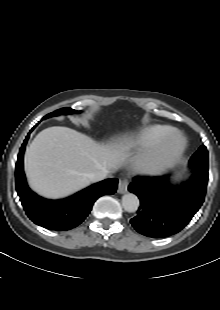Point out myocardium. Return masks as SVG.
<instances>
[{"label":"myocardium","instance_id":"myocardium-1","mask_svg":"<svg viewBox=\"0 0 220 310\" xmlns=\"http://www.w3.org/2000/svg\"><path fill=\"white\" fill-rule=\"evenodd\" d=\"M185 136L173 130L138 158L139 170L149 176L160 175L174 167L186 149Z\"/></svg>","mask_w":220,"mask_h":310}]
</instances>
